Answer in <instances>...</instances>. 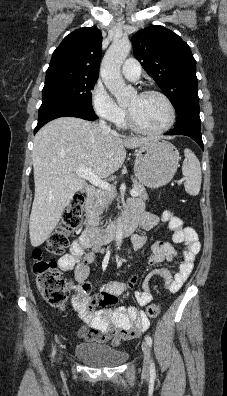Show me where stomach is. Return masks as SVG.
I'll list each match as a JSON object with an SVG mask.
<instances>
[{"label": "stomach", "instance_id": "obj_1", "mask_svg": "<svg viewBox=\"0 0 227 396\" xmlns=\"http://www.w3.org/2000/svg\"><path fill=\"white\" fill-rule=\"evenodd\" d=\"M179 160V152L173 144L156 138L136 150L134 173L141 184L159 188L171 181Z\"/></svg>", "mask_w": 227, "mask_h": 396}]
</instances>
